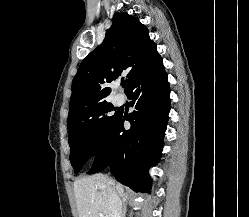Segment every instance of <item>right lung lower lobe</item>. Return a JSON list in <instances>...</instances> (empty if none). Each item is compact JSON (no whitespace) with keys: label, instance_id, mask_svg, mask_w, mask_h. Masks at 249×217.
I'll return each mask as SVG.
<instances>
[{"label":"right lung lower lobe","instance_id":"98d812e1","mask_svg":"<svg viewBox=\"0 0 249 217\" xmlns=\"http://www.w3.org/2000/svg\"><path fill=\"white\" fill-rule=\"evenodd\" d=\"M135 110L120 113L88 174L110 167L115 179L135 191L150 193L148 168L156 164L170 111V88L158 54L126 92ZM130 122L129 130L124 121Z\"/></svg>","mask_w":249,"mask_h":217}]
</instances>
